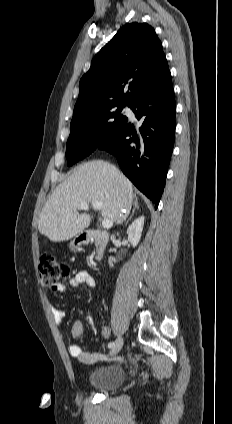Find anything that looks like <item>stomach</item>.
Wrapping results in <instances>:
<instances>
[{"label":"stomach","mask_w":232,"mask_h":424,"mask_svg":"<svg viewBox=\"0 0 232 424\" xmlns=\"http://www.w3.org/2000/svg\"><path fill=\"white\" fill-rule=\"evenodd\" d=\"M82 235H77L71 242H70V248L79 247L84 243V239L81 237Z\"/></svg>","instance_id":"obj_1"}]
</instances>
